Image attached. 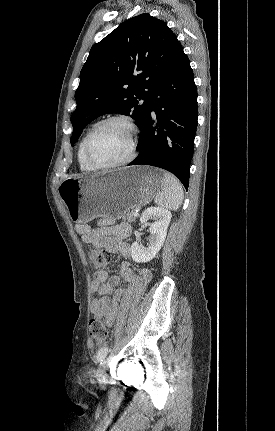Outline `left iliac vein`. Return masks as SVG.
Masks as SVG:
<instances>
[{
  "label": "left iliac vein",
  "instance_id": "4c4485c4",
  "mask_svg": "<svg viewBox=\"0 0 275 431\" xmlns=\"http://www.w3.org/2000/svg\"><path fill=\"white\" fill-rule=\"evenodd\" d=\"M105 370H106V361H104V362L99 366V368L97 369V372H96L97 380H98L100 383H104V382H105V380H106V373H105Z\"/></svg>",
  "mask_w": 275,
  "mask_h": 431
}]
</instances>
